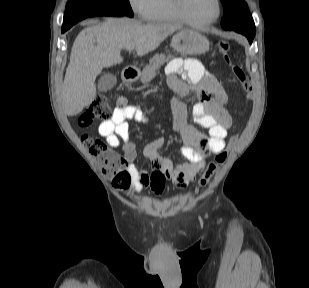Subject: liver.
Returning <instances> with one entry per match:
<instances>
[{
    "label": "liver",
    "instance_id": "1",
    "mask_svg": "<svg viewBox=\"0 0 309 288\" xmlns=\"http://www.w3.org/2000/svg\"><path fill=\"white\" fill-rule=\"evenodd\" d=\"M178 28L167 23L109 18L83 29L73 43L61 92L65 112L77 115L92 103L96 97V77L103 68L123 61V48L132 46L138 56H144Z\"/></svg>",
    "mask_w": 309,
    "mask_h": 288
}]
</instances>
